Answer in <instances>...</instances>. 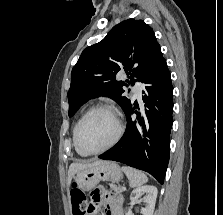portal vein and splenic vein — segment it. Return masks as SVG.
Returning <instances> with one entry per match:
<instances>
[{
  "label": "portal vein and splenic vein",
  "mask_w": 223,
  "mask_h": 215,
  "mask_svg": "<svg viewBox=\"0 0 223 215\" xmlns=\"http://www.w3.org/2000/svg\"><path fill=\"white\" fill-rule=\"evenodd\" d=\"M121 186L123 187V189H126V187H125L126 185L124 183Z\"/></svg>",
  "instance_id": "obj_1"
}]
</instances>
